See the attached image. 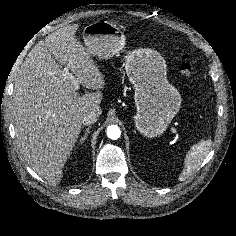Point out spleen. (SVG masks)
<instances>
[{
	"label": "spleen",
	"mask_w": 236,
	"mask_h": 236,
	"mask_svg": "<svg viewBox=\"0 0 236 236\" xmlns=\"http://www.w3.org/2000/svg\"><path fill=\"white\" fill-rule=\"evenodd\" d=\"M211 145L212 141L206 140L192 146L185 157L184 168L179 176L180 181L186 180L189 176L192 175L194 170H196L202 164L203 160L210 150Z\"/></svg>",
	"instance_id": "1"
}]
</instances>
